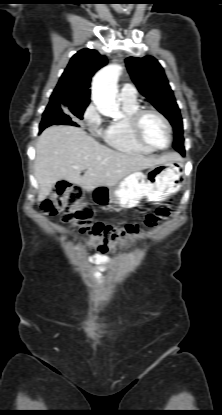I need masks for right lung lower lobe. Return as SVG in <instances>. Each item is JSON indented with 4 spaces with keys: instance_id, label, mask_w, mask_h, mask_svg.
<instances>
[{
    "instance_id": "obj_1",
    "label": "right lung lower lobe",
    "mask_w": 222,
    "mask_h": 415,
    "mask_svg": "<svg viewBox=\"0 0 222 415\" xmlns=\"http://www.w3.org/2000/svg\"><path fill=\"white\" fill-rule=\"evenodd\" d=\"M54 124H57V125L68 124V125L77 126V124L74 122L68 123L67 120H65V115L63 114H60L58 112L49 113L45 111L43 114L42 122L40 124V132L44 130L46 127L54 125Z\"/></svg>"
}]
</instances>
